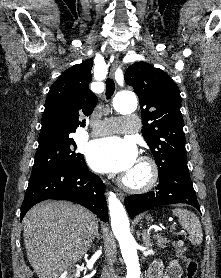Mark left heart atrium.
Masks as SVG:
<instances>
[{"label": "left heart atrium", "mask_w": 221, "mask_h": 278, "mask_svg": "<svg viewBox=\"0 0 221 278\" xmlns=\"http://www.w3.org/2000/svg\"><path fill=\"white\" fill-rule=\"evenodd\" d=\"M89 166L101 173L126 174L137 162L136 145L111 136L91 141L86 149Z\"/></svg>", "instance_id": "obj_1"}]
</instances>
